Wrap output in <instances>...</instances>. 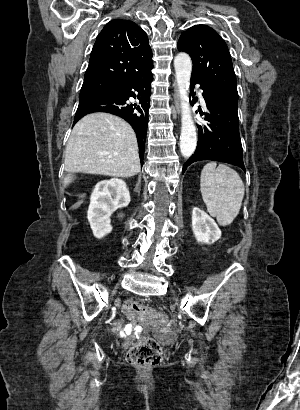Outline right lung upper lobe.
<instances>
[{
    "label": "right lung upper lobe",
    "mask_w": 300,
    "mask_h": 410,
    "mask_svg": "<svg viewBox=\"0 0 300 410\" xmlns=\"http://www.w3.org/2000/svg\"><path fill=\"white\" fill-rule=\"evenodd\" d=\"M152 50L146 33L134 22L110 21L97 37L84 82L116 87L122 80L151 72Z\"/></svg>",
    "instance_id": "1"
}]
</instances>
